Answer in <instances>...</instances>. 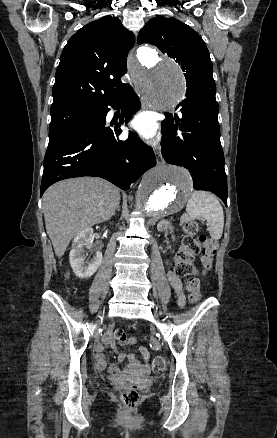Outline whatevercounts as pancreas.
<instances>
[{
  "instance_id": "1",
  "label": "pancreas",
  "mask_w": 277,
  "mask_h": 438,
  "mask_svg": "<svg viewBox=\"0 0 277 438\" xmlns=\"http://www.w3.org/2000/svg\"><path fill=\"white\" fill-rule=\"evenodd\" d=\"M181 221H182V223H191V221H192L191 214H182Z\"/></svg>"
}]
</instances>
